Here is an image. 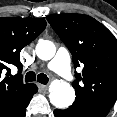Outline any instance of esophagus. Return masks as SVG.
Listing matches in <instances>:
<instances>
[{
	"label": "esophagus",
	"mask_w": 117,
	"mask_h": 117,
	"mask_svg": "<svg viewBox=\"0 0 117 117\" xmlns=\"http://www.w3.org/2000/svg\"><path fill=\"white\" fill-rule=\"evenodd\" d=\"M37 86H38V88L41 92H45L48 88L47 85H43V84H40V83H38Z\"/></svg>",
	"instance_id": "1"
}]
</instances>
